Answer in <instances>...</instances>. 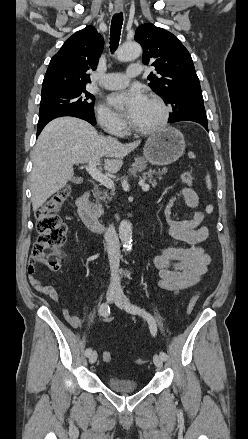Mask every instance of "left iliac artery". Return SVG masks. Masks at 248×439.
<instances>
[{"label":"left iliac artery","instance_id":"obj_1","mask_svg":"<svg viewBox=\"0 0 248 439\" xmlns=\"http://www.w3.org/2000/svg\"><path fill=\"white\" fill-rule=\"evenodd\" d=\"M127 310H128L130 313L138 314V315H141L143 318H145V319L148 321V324H149V328H150L151 334H152L153 336L156 335V332H157V326H156L155 319L153 318V316H152L151 314H149V313L146 312L144 309H142V308H140L139 306L134 305V304H128V305H127ZM160 357L165 361V360H167L168 355H167L165 352L161 351V352H160Z\"/></svg>","mask_w":248,"mask_h":439}]
</instances>
